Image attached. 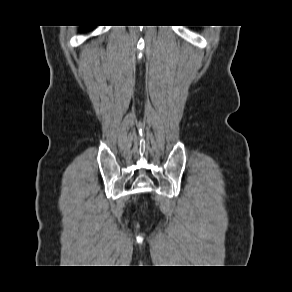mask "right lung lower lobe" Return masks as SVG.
<instances>
[{
    "mask_svg": "<svg viewBox=\"0 0 292 292\" xmlns=\"http://www.w3.org/2000/svg\"><path fill=\"white\" fill-rule=\"evenodd\" d=\"M86 29H91L93 26H84Z\"/></svg>",
    "mask_w": 292,
    "mask_h": 292,
    "instance_id": "obj_1",
    "label": "right lung lower lobe"
}]
</instances>
